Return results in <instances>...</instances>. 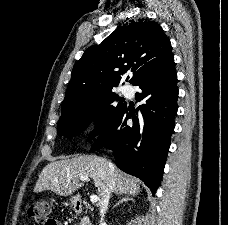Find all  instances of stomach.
Instances as JSON below:
<instances>
[{"instance_id":"obj_1","label":"stomach","mask_w":228,"mask_h":225,"mask_svg":"<svg viewBox=\"0 0 228 225\" xmlns=\"http://www.w3.org/2000/svg\"><path fill=\"white\" fill-rule=\"evenodd\" d=\"M70 201H71V205H72V207H73L74 201H76V197H72V199H70Z\"/></svg>"}]
</instances>
